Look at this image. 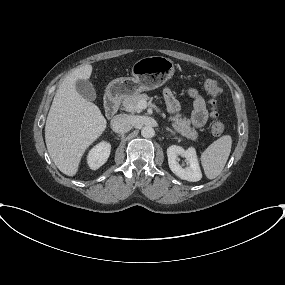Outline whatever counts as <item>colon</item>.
<instances>
[{
  "label": "colon",
  "mask_w": 285,
  "mask_h": 285,
  "mask_svg": "<svg viewBox=\"0 0 285 285\" xmlns=\"http://www.w3.org/2000/svg\"><path fill=\"white\" fill-rule=\"evenodd\" d=\"M202 83L205 90L211 95V118L213 120L211 125V133L215 137H219L224 131V125L222 121L219 119V113L217 110L218 105V97L221 93V87L219 86L218 82L209 77H202Z\"/></svg>",
  "instance_id": "obj_1"
}]
</instances>
